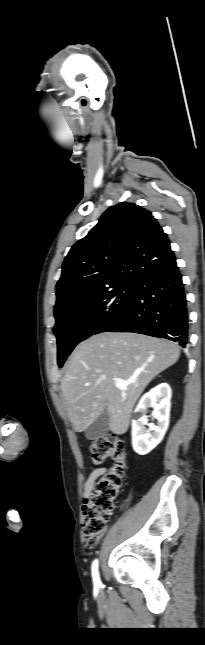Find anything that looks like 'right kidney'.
<instances>
[{"instance_id": "1", "label": "right kidney", "mask_w": 205, "mask_h": 645, "mask_svg": "<svg viewBox=\"0 0 205 645\" xmlns=\"http://www.w3.org/2000/svg\"><path fill=\"white\" fill-rule=\"evenodd\" d=\"M171 395L170 386L161 383L140 399L134 410L131 432L133 450L137 454H148L162 441L169 426ZM150 407L153 408L152 416L157 420L156 425L148 423L146 413Z\"/></svg>"}]
</instances>
